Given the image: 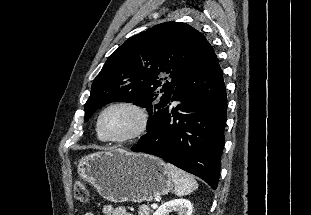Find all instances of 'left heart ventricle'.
Segmentation results:
<instances>
[{
	"mask_svg": "<svg viewBox=\"0 0 311 215\" xmlns=\"http://www.w3.org/2000/svg\"><path fill=\"white\" fill-rule=\"evenodd\" d=\"M139 117L135 111L127 107H114L102 118V130L106 136H125L138 126Z\"/></svg>",
	"mask_w": 311,
	"mask_h": 215,
	"instance_id": "b2bd125f",
	"label": "left heart ventricle"
}]
</instances>
